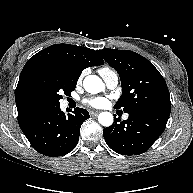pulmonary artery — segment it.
Masks as SVG:
<instances>
[{
  "label": "pulmonary artery",
  "mask_w": 193,
  "mask_h": 193,
  "mask_svg": "<svg viewBox=\"0 0 193 193\" xmlns=\"http://www.w3.org/2000/svg\"><path fill=\"white\" fill-rule=\"evenodd\" d=\"M100 75L109 89H115L117 87L119 83V77L115 71L113 70L104 71L100 73ZM127 118H128V114H125L124 119H127Z\"/></svg>",
  "instance_id": "pulmonary-artery-1"
}]
</instances>
